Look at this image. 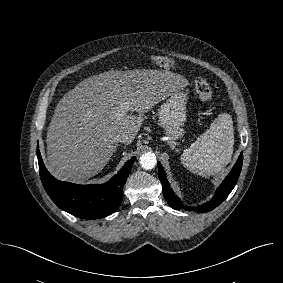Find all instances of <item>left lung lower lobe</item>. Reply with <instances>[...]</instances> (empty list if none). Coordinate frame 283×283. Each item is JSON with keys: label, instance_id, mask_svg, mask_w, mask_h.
<instances>
[{"label": "left lung lower lobe", "instance_id": "0a47b994", "mask_svg": "<svg viewBox=\"0 0 283 283\" xmlns=\"http://www.w3.org/2000/svg\"><path fill=\"white\" fill-rule=\"evenodd\" d=\"M242 163H243V154L241 153L234 167L228 174V176L225 178V180L216 190L214 197L209 202L203 204L201 207L196 208L198 212H209L214 208H216L218 205H220L228 197L229 193L233 190L235 184L237 183V180L241 172ZM158 166H159L158 175L162 183V192L167 203L173 209L192 210V208L183 205L180 199L174 194L171 187L169 186L164 169L159 162H158Z\"/></svg>", "mask_w": 283, "mask_h": 283}]
</instances>
